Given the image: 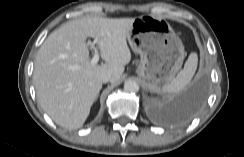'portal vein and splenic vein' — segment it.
<instances>
[{
  "mask_svg": "<svg viewBox=\"0 0 244 157\" xmlns=\"http://www.w3.org/2000/svg\"><path fill=\"white\" fill-rule=\"evenodd\" d=\"M97 42H98V39L96 38V39H94L93 42H88L87 43V45H89L94 51V56L91 59V64L92 65H96L98 63V61H99V53H98V49L96 47ZM73 69H76V67H73Z\"/></svg>",
  "mask_w": 244,
  "mask_h": 157,
  "instance_id": "portal-vein-and-splenic-vein-1",
  "label": "portal vein and splenic vein"
}]
</instances>
